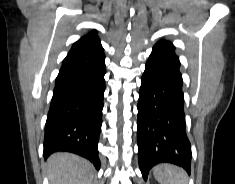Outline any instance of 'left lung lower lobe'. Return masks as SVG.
I'll use <instances>...</instances> for the list:
<instances>
[{
  "mask_svg": "<svg viewBox=\"0 0 235 184\" xmlns=\"http://www.w3.org/2000/svg\"><path fill=\"white\" fill-rule=\"evenodd\" d=\"M180 62L170 41H158L146 63L138 100L139 166L146 180L162 162L191 168V144L186 135Z\"/></svg>",
  "mask_w": 235,
  "mask_h": 184,
  "instance_id": "left-lung-lower-lobe-1",
  "label": "left lung lower lobe"
}]
</instances>
